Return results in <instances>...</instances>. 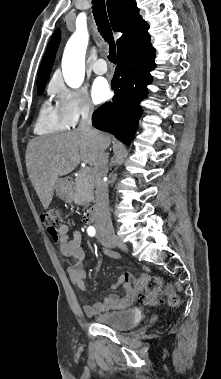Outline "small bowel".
Returning <instances> with one entry per match:
<instances>
[{
  "label": "small bowel",
  "mask_w": 221,
  "mask_h": 379,
  "mask_svg": "<svg viewBox=\"0 0 221 379\" xmlns=\"http://www.w3.org/2000/svg\"><path fill=\"white\" fill-rule=\"evenodd\" d=\"M70 226L61 224L56 233L50 234L52 239L59 243L61 253L68 258H73L75 263L67 266L66 272L70 282L80 291H86L87 273L84 269H90V266H84L82 261L85 258L84 250L81 247L82 236L79 230H74L72 236H69ZM122 286L125 290L124 296L115 293H109L104 299L94 301L83 306L84 312L88 316L109 310H122L130 307L141 295L145 288V277L136 278L129 272L120 275L117 282L110 285L109 290H115Z\"/></svg>",
  "instance_id": "obj_1"
}]
</instances>
